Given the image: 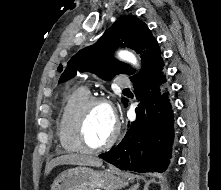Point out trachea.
Masks as SVG:
<instances>
[{"label": "trachea", "instance_id": "trachea-1", "mask_svg": "<svg viewBox=\"0 0 221 190\" xmlns=\"http://www.w3.org/2000/svg\"><path fill=\"white\" fill-rule=\"evenodd\" d=\"M123 91H129V89H123Z\"/></svg>", "mask_w": 221, "mask_h": 190}]
</instances>
